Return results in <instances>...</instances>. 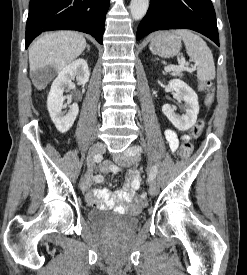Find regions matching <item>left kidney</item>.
<instances>
[{
  "label": "left kidney",
  "instance_id": "obj_1",
  "mask_svg": "<svg viewBox=\"0 0 247 275\" xmlns=\"http://www.w3.org/2000/svg\"><path fill=\"white\" fill-rule=\"evenodd\" d=\"M169 84L184 101L185 113L182 115L175 113L169 104L163 105L162 112L178 130L186 131L196 123L199 113L198 96L189 85L180 79H173L169 81Z\"/></svg>",
  "mask_w": 247,
  "mask_h": 275
}]
</instances>
